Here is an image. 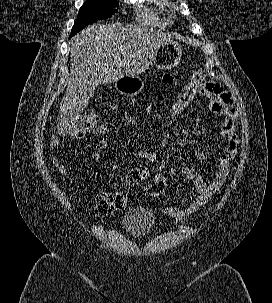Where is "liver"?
<instances>
[{
  "label": "liver",
  "mask_w": 272,
  "mask_h": 303,
  "mask_svg": "<svg viewBox=\"0 0 272 303\" xmlns=\"http://www.w3.org/2000/svg\"><path fill=\"white\" fill-rule=\"evenodd\" d=\"M172 36L136 24H92L71 39L70 79L60 104L59 134H76L81 114L99 84L135 77ZM125 68V74L122 72Z\"/></svg>",
  "instance_id": "liver-1"
}]
</instances>
